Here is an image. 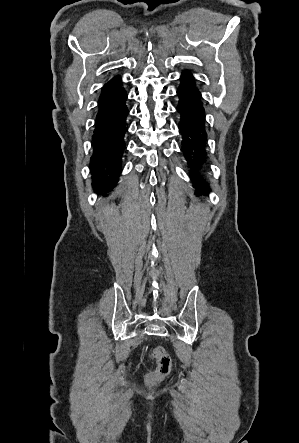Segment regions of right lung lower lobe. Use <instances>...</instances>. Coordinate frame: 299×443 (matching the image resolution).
<instances>
[{
	"label": "right lung lower lobe",
	"instance_id": "1",
	"mask_svg": "<svg viewBox=\"0 0 299 443\" xmlns=\"http://www.w3.org/2000/svg\"><path fill=\"white\" fill-rule=\"evenodd\" d=\"M121 84L119 76L113 77L104 85L99 99L91 157L92 187L97 194L105 195L118 182L128 115L127 94Z\"/></svg>",
	"mask_w": 299,
	"mask_h": 443
}]
</instances>
